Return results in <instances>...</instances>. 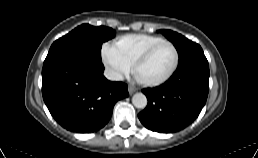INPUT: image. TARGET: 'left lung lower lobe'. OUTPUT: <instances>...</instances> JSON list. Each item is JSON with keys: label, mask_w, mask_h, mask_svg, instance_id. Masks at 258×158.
Listing matches in <instances>:
<instances>
[{"label": "left lung lower lobe", "mask_w": 258, "mask_h": 158, "mask_svg": "<svg viewBox=\"0 0 258 158\" xmlns=\"http://www.w3.org/2000/svg\"><path fill=\"white\" fill-rule=\"evenodd\" d=\"M208 91L209 65L199 46L179 62L168 82L155 89L143 90L148 105L138 117L152 131L180 130L199 115Z\"/></svg>", "instance_id": "0a47b994"}]
</instances>
